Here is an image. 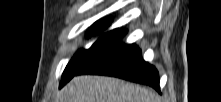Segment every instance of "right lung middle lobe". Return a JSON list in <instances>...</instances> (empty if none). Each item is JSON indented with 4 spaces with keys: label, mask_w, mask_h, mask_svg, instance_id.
<instances>
[{
    "label": "right lung middle lobe",
    "mask_w": 221,
    "mask_h": 102,
    "mask_svg": "<svg viewBox=\"0 0 221 102\" xmlns=\"http://www.w3.org/2000/svg\"><path fill=\"white\" fill-rule=\"evenodd\" d=\"M111 23V19L103 18L95 22L88 31V37L102 33ZM126 33L124 30L114 29L103 34L89 49L79 50L66 66L62 79L75 73L78 69L83 67L91 59L103 52L106 48L112 45L117 39Z\"/></svg>",
    "instance_id": "obj_1"
}]
</instances>
